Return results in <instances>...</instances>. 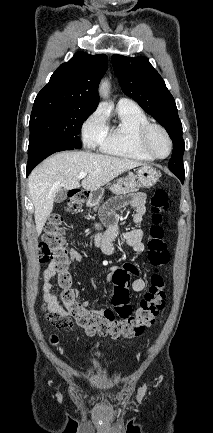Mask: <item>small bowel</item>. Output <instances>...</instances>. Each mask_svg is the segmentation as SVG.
<instances>
[{
    "label": "small bowel",
    "instance_id": "1",
    "mask_svg": "<svg viewBox=\"0 0 213 433\" xmlns=\"http://www.w3.org/2000/svg\"><path fill=\"white\" fill-rule=\"evenodd\" d=\"M146 196L143 193L131 194L128 200L118 203L120 206L130 205L135 209L133 215V222L135 225L139 226L146 212L145 207ZM102 221L105 228L96 225L97 232L93 239V245L99 246L103 254L107 256L114 255L116 249L114 247L115 238L121 234L125 243L132 248L135 253H142L145 250V245L143 243L144 232L141 228L137 227L132 230L122 232L118 225V217L114 212L107 211L104 213ZM75 233L71 230L65 233V240L69 241L74 237ZM83 260V255L77 250L71 249L69 251V258L67 265L70 266L75 262H81ZM121 267H128L131 271L132 276L139 275V268L135 264H125ZM118 266H113L110 268V273L108 275V281H112L113 273L121 268ZM58 278V272L54 263H51L43 273V298L47 304L48 310L51 315L66 318L68 316L67 310L61 305L57 296L54 293V280ZM92 287L95 288V283L92 280ZM131 289L134 292H142L146 288V281L142 278H136L131 282ZM111 310V308H104L97 310L99 312H104ZM53 344H57L58 339L55 335L50 337Z\"/></svg>",
    "mask_w": 213,
    "mask_h": 433
}]
</instances>
